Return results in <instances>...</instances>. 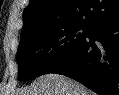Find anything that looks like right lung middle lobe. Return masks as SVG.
I'll use <instances>...</instances> for the list:
<instances>
[{"label": "right lung middle lobe", "instance_id": "obj_1", "mask_svg": "<svg viewBox=\"0 0 119 95\" xmlns=\"http://www.w3.org/2000/svg\"><path fill=\"white\" fill-rule=\"evenodd\" d=\"M89 29L80 24L47 25L21 37L16 58L18 79L28 81L43 75L79 43Z\"/></svg>", "mask_w": 119, "mask_h": 95}]
</instances>
